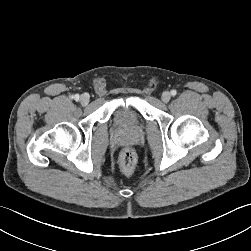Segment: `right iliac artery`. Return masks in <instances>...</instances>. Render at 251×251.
Here are the masks:
<instances>
[{"label": "right iliac artery", "instance_id": "right-iliac-artery-1", "mask_svg": "<svg viewBox=\"0 0 251 251\" xmlns=\"http://www.w3.org/2000/svg\"><path fill=\"white\" fill-rule=\"evenodd\" d=\"M73 98L77 101V100H79V95L76 94V95L73 96Z\"/></svg>", "mask_w": 251, "mask_h": 251}]
</instances>
